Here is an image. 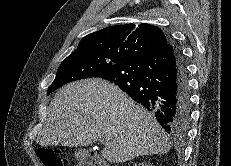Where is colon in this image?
Wrapping results in <instances>:
<instances>
[{
    "label": "colon",
    "instance_id": "obj_1",
    "mask_svg": "<svg viewBox=\"0 0 231 166\" xmlns=\"http://www.w3.org/2000/svg\"><path fill=\"white\" fill-rule=\"evenodd\" d=\"M37 155L44 166H67V161L59 150L41 149ZM89 166H97V164Z\"/></svg>",
    "mask_w": 231,
    "mask_h": 166
}]
</instances>
